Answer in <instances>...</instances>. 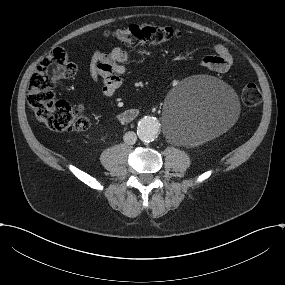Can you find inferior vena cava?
<instances>
[{
    "mask_svg": "<svg viewBox=\"0 0 285 285\" xmlns=\"http://www.w3.org/2000/svg\"><path fill=\"white\" fill-rule=\"evenodd\" d=\"M137 141V135L135 132L133 131H128L125 133L124 135V142L126 144L132 145L135 144V142Z\"/></svg>",
    "mask_w": 285,
    "mask_h": 285,
    "instance_id": "1",
    "label": "inferior vena cava"
}]
</instances>
